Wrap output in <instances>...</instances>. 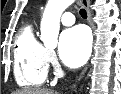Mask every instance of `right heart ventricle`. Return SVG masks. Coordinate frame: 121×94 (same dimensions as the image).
Segmentation results:
<instances>
[{
    "label": "right heart ventricle",
    "instance_id": "right-heart-ventricle-1",
    "mask_svg": "<svg viewBox=\"0 0 121 94\" xmlns=\"http://www.w3.org/2000/svg\"><path fill=\"white\" fill-rule=\"evenodd\" d=\"M47 51L30 24L21 29L14 49V75L19 86L34 88L44 84L48 73Z\"/></svg>",
    "mask_w": 121,
    "mask_h": 94
}]
</instances>
